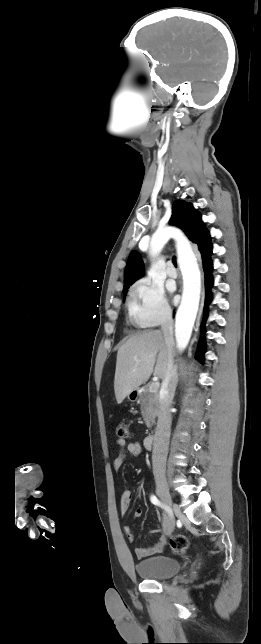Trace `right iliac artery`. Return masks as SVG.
<instances>
[{
  "mask_svg": "<svg viewBox=\"0 0 261 644\" xmlns=\"http://www.w3.org/2000/svg\"><path fill=\"white\" fill-rule=\"evenodd\" d=\"M150 500H151V502H152L154 505H157V506L163 507L166 511H168V513L172 514L171 509H170L168 506L163 505V504L158 500V498H157L156 496L152 495V496L150 497Z\"/></svg>",
  "mask_w": 261,
  "mask_h": 644,
  "instance_id": "82829eb1",
  "label": "right iliac artery"
}]
</instances>
